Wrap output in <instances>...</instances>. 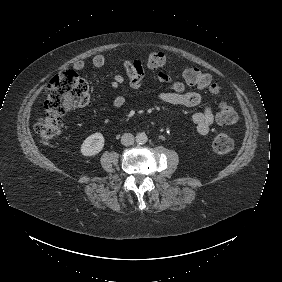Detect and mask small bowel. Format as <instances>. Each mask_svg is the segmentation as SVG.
Returning a JSON list of instances; mask_svg holds the SVG:
<instances>
[{
  "instance_id": "obj_1",
  "label": "small bowel",
  "mask_w": 282,
  "mask_h": 282,
  "mask_svg": "<svg viewBox=\"0 0 282 282\" xmlns=\"http://www.w3.org/2000/svg\"><path fill=\"white\" fill-rule=\"evenodd\" d=\"M105 62L106 59L102 54H97L92 58V65L95 68L103 67ZM85 66L86 64L83 60H78L73 65L75 70H82ZM124 69L126 75L122 73L116 74L111 82V88L118 92L112 100V107L115 109L122 108L126 103V96L121 92V88L126 81V78L128 79L130 87L133 89L139 88L146 81L140 61H125ZM152 79L164 84L169 89L160 91L157 94L158 100L163 104L195 107L202 101V96L199 92L187 91L181 82L173 79L166 73L159 72L153 75ZM192 120L196 126L198 134L206 136L210 131V126L215 120V114L211 107L205 106L201 111L193 114Z\"/></svg>"
}]
</instances>
